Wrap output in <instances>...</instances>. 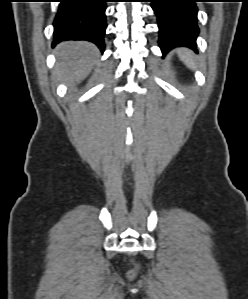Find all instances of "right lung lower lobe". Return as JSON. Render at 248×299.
<instances>
[{
  "mask_svg": "<svg viewBox=\"0 0 248 299\" xmlns=\"http://www.w3.org/2000/svg\"><path fill=\"white\" fill-rule=\"evenodd\" d=\"M107 0H60L53 45L66 40H87L104 51Z\"/></svg>",
  "mask_w": 248,
  "mask_h": 299,
  "instance_id": "obj_1",
  "label": "right lung lower lobe"
}]
</instances>
